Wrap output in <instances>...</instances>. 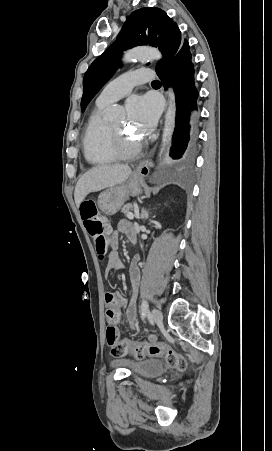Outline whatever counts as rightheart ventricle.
<instances>
[{
	"label": "right heart ventricle",
	"mask_w": 272,
	"mask_h": 451,
	"mask_svg": "<svg viewBox=\"0 0 272 451\" xmlns=\"http://www.w3.org/2000/svg\"><path fill=\"white\" fill-rule=\"evenodd\" d=\"M112 103H97L86 127L83 141L84 152L86 159L94 164L110 162L115 156L113 144L108 140L107 135L110 124L102 118L103 110Z\"/></svg>",
	"instance_id": "e07e8e85"
}]
</instances>
